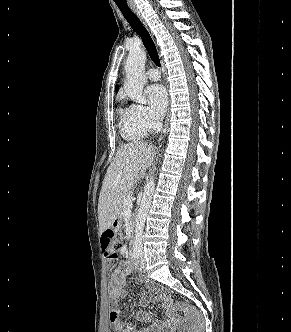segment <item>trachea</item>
<instances>
[{
	"label": "trachea",
	"mask_w": 291,
	"mask_h": 332,
	"mask_svg": "<svg viewBox=\"0 0 291 332\" xmlns=\"http://www.w3.org/2000/svg\"><path fill=\"white\" fill-rule=\"evenodd\" d=\"M120 11L122 12L123 16L130 24L132 29L141 37L145 48L148 51V54L151 60L159 67L160 66V59L157 53L156 47L154 42L146 30V28L141 23L140 19L137 15L129 8L128 4L125 3H116Z\"/></svg>",
	"instance_id": "trachea-1"
}]
</instances>
